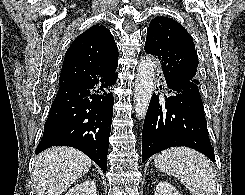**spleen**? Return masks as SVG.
Returning a JSON list of instances; mask_svg holds the SVG:
<instances>
[{
	"label": "spleen",
	"mask_w": 245,
	"mask_h": 195,
	"mask_svg": "<svg viewBox=\"0 0 245 195\" xmlns=\"http://www.w3.org/2000/svg\"><path fill=\"white\" fill-rule=\"evenodd\" d=\"M154 164L180 180L192 195H215L214 170L203 154L186 147H173L157 154Z\"/></svg>",
	"instance_id": "3e777b00"
}]
</instances>
